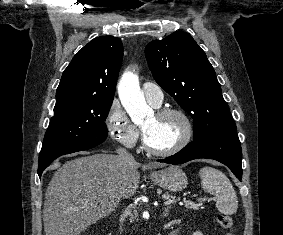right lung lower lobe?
I'll list each match as a JSON object with an SVG mask.
<instances>
[{
  "label": "right lung lower lobe",
  "instance_id": "1",
  "mask_svg": "<svg viewBox=\"0 0 283 235\" xmlns=\"http://www.w3.org/2000/svg\"><path fill=\"white\" fill-rule=\"evenodd\" d=\"M104 140L105 138H95L90 141L77 142L57 150L56 152L45 158L43 161H39L38 175L41 177L44 169L48 167L51 164V162L56 158H58L59 156L92 148L97 144L103 142Z\"/></svg>",
  "mask_w": 283,
  "mask_h": 235
}]
</instances>
